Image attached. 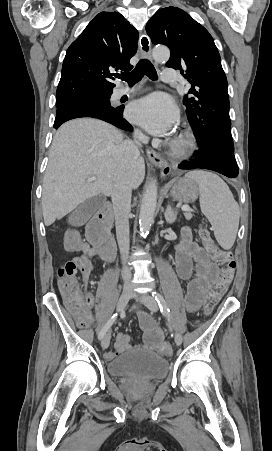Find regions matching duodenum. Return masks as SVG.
<instances>
[{
    "label": "duodenum",
    "instance_id": "410a0bca",
    "mask_svg": "<svg viewBox=\"0 0 272 451\" xmlns=\"http://www.w3.org/2000/svg\"><path fill=\"white\" fill-rule=\"evenodd\" d=\"M112 210L110 204H104L88 223L86 235L89 243L99 256L106 261L112 260L115 254V241L110 234Z\"/></svg>",
    "mask_w": 272,
    "mask_h": 451
}]
</instances>
